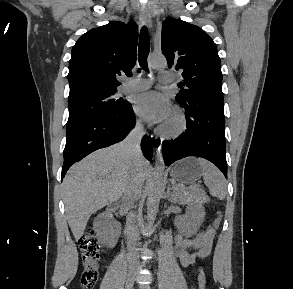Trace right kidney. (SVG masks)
<instances>
[{"mask_svg": "<svg viewBox=\"0 0 293 289\" xmlns=\"http://www.w3.org/2000/svg\"><path fill=\"white\" fill-rule=\"evenodd\" d=\"M108 226L107 215L105 213L99 214L94 221V228L98 232H105Z\"/></svg>", "mask_w": 293, "mask_h": 289, "instance_id": "ca27d5eb", "label": "right kidney"}]
</instances>
